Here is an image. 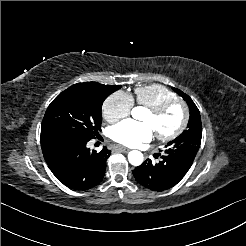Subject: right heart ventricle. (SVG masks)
<instances>
[{"mask_svg":"<svg viewBox=\"0 0 246 246\" xmlns=\"http://www.w3.org/2000/svg\"><path fill=\"white\" fill-rule=\"evenodd\" d=\"M176 99L174 92L160 84L140 86L134 90V102L140 106L154 108L169 100Z\"/></svg>","mask_w":246,"mask_h":246,"instance_id":"right-heart-ventricle-1","label":"right heart ventricle"}]
</instances>
